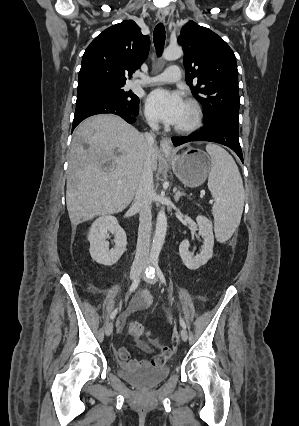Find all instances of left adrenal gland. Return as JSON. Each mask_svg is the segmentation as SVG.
<instances>
[{"mask_svg":"<svg viewBox=\"0 0 299 426\" xmlns=\"http://www.w3.org/2000/svg\"><path fill=\"white\" fill-rule=\"evenodd\" d=\"M174 193H175L174 199H175L176 202L179 201L180 197L186 195L184 191H182L181 189H177V188L174 189Z\"/></svg>","mask_w":299,"mask_h":426,"instance_id":"1","label":"left adrenal gland"}]
</instances>
